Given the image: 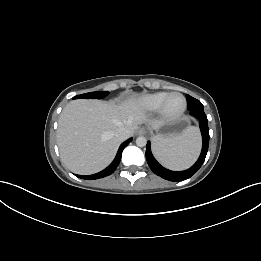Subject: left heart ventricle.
<instances>
[{
    "label": "left heart ventricle",
    "instance_id": "b2bd125f",
    "mask_svg": "<svg viewBox=\"0 0 261 261\" xmlns=\"http://www.w3.org/2000/svg\"><path fill=\"white\" fill-rule=\"evenodd\" d=\"M183 106V99L179 95L172 96L167 103V110L170 113L178 112Z\"/></svg>",
    "mask_w": 261,
    "mask_h": 261
}]
</instances>
